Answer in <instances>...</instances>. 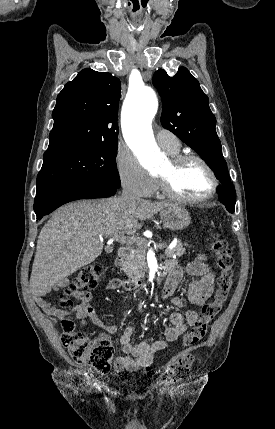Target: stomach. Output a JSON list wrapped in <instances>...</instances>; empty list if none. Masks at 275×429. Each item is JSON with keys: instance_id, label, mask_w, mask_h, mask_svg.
Returning <instances> with one entry per match:
<instances>
[{"instance_id": "0dacf381", "label": "stomach", "mask_w": 275, "mask_h": 429, "mask_svg": "<svg viewBox=\"0 0 275 429\" xmlns=\"http://www.w3.org/2000/svg\"><path fill=\"white\" fill-rule=\"evenodd\" d=\"M160 217L167 228L176 231L186 228L191 221L189 212L179 205L165 208L160 212Z\"/></svg>"}]
</instances>
